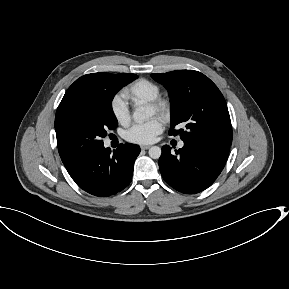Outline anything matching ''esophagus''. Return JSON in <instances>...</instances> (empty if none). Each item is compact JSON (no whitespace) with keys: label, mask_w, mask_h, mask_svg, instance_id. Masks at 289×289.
<instances>
[{"label":"esophagus","mask_w":289,"mask_h":289,"mask_svg":"<svg viewBox=\"0 0 289 289\" xmlns=\"http://www.w3.org/2000/svg\"><path fill=\"white\" fill-rule=\"evenodd\" d=\"M151 146L150 145H142V146H140V148L142 149V150H147V149H149Z\"/></svg>","instance_id":"1"}]
</instances>
